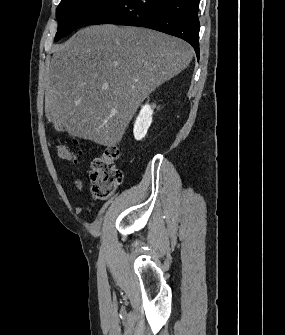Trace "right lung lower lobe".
Wrapping results in <instances>:
<instances>
[{
  "instance_id": "right-lung-lower-lobe-1",
  "label": "right lung lower lobe",
  "mask_w": 285,
  "mask_h": 335,
  "mask_svg": "<svg viewBox=\"0 0 285 335\" xmlns=\"http://www.w3.org/2000/svg\"><path fill=\"white\" fill-rule=\"evenodd\" d=\"M200 0H116L84 25L120 24L154 29L187 41L199 59Z\"/></svg>"
}]
</instances>
